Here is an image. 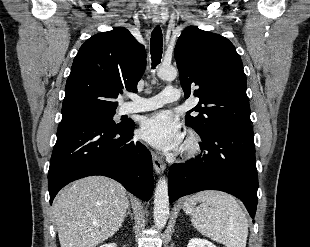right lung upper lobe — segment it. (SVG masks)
<instances>
[{"label":"right lung upper lobe","mask_w":310,"mask_h":247,"mask_svg":"<svg viewBox=\"0 0 310 247\" xmlns=\"http://www.w3.org/2000/svg\"><path fill=\"white\" fill-rule=\"evenodd\" d=\"M145 67L144 46L126 28L93 35L73 61L62 111L86 106L116 109L122 89L137 91Z\"/></svg>","instance_id":"obj_1"}]
</instances>
